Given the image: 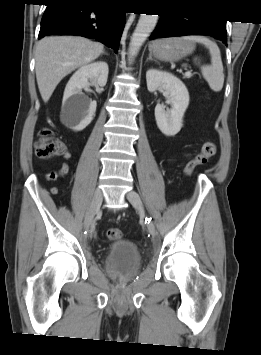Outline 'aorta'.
<instances>
[{"instance_id":"1","label":"aorta","mask_w":261,"mask_h":355,"mask_svg":"<svg viewBox=\"0 0 261 355\" xmlns=\"http://www.w3.org/2000/svg\"><path fill=\"white\" fill-rule=\"evenodd\" d=\"M157 20L158 15L141 14L129 44L128 54L130 57L137 55L143 43L154 30Z\"/></svg>"}]
</instances>
